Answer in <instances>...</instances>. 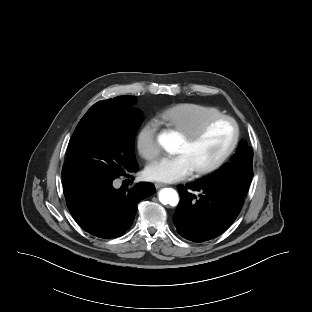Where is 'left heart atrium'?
<instances>
[{
	"label": "left heart atrium",
	"mask_w": 312,
	"mask_h": 312,
	"mask_svg": "<svg viewBox=\"0 0 312 312\" xmlns=\"http://www.w3.org/2000/svg\"><path fill=\"white\" fill-rule=\"evenodd\" d=\"M194 167L186 154L165 156L145 169V177L150 181L172 183L191 175Z\"/></svg>",
	"instance_id": "obj_1"
}]
</instances>
